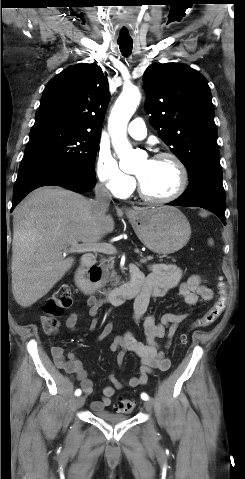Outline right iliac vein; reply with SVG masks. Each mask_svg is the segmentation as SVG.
<instances>
[{
    "mask_svg": "<svg viewBox=\"0 0 245 479\" xmlns=\"http://www.w3.org/2000/svg\"><path fill=\"white\" fill-rule=\"evenodd\" d=\"M84 402H85V398H84L83 396L77 397V398L75 399V403H74V404H75V407H76V408L82 407L83 404H84Z\"/></svg>",
    "mask_w": 245,
    "mask_h": 479,
    "instance_id": "right-iliac-vein-1",
    "label": "right iliac vein"
}]
</instances>
